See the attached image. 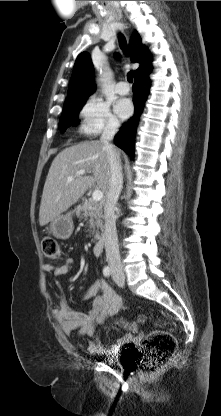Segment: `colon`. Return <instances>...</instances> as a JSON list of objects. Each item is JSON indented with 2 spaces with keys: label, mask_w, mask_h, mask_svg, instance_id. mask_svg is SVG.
Instances as JSON below:
<instances>
[{
  "label": "colon",
  "mask_w": 221,
  "mask_h": 416,
  "mask_svg": "<svg viewBox=\"0 0 221 416\" xmlns=\"http://www.w3.org/2000/svg\"><path fill=\"white\" fill-rule=\"evenodd\" d=\"M42 252L45 258L57 259L61 254L58 241L46 236L42 239ZM122 325L132 329L133 325L125 321ZM177 346L176 338L169 331L158 328L146 335L142 342V368L147 373H154L169 360Z\"/></svg>",
  "instance_id": "colon-1"
}]
</instances>
